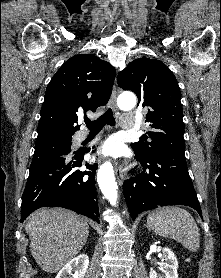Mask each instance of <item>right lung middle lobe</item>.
Wrapping results in <instances>:
<instances>
[{
	"mask_svg": "<svg viewBox=\"0 0 221 278\" xmlns=\"http://www.w3.org/2000/svg\"><path fill=\"white\" fill-rule=\"evenodd\" d=\"M71 141L72 137H69L36 145L30 169L51 160L54 157L69 154L71 151Z\"/></svg>",
	"mask_w": 221,
	"mask_h": 278,
	"instance_id": "dd1d6c3e",
	"label": "right lung middle lobe"
}]
</instances>
